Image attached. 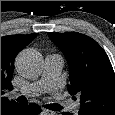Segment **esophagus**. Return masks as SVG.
I'll return each instance as SVG.
<instances>
[{"label": "esophagus", "mask_w": 115, "mask_h": 115, "mask_svg": "<svg viewBox=\"0 0 115 115\" xmlns=\"http://www.w3.org/2000/svg\"><path fill=\"white\" fill-rule=\"evenodd\" d=\"M42 112L45 115H54L55 114L54 111H51V110H48V109H45V108L42 109Z\"/></svg>", "instance_id": "obj_1"}]
</instances>
